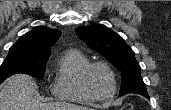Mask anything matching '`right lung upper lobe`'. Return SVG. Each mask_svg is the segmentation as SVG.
<instances>
[{
	"mask_svg": "<svg viewBox=\"0 0 171 110\" xmlns=\"http://www.w3.org/2000/svg\"><path fill=\"white\" fill-rule=\"evenodd\" d=\"M61 32L57 29L38 26L22 35L10 49L27 55H50L51 47L59 39Z\"/></svg>",
	"mask_w": 171,
	"mask_h": 110,
	"instance_id": "cb5924a9",
	"label": "right lung upper lobe"
}]
</instances>
